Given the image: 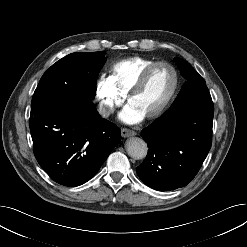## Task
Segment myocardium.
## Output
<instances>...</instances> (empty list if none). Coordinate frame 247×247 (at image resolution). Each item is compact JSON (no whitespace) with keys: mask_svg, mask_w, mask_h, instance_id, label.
Returning <instances> with one entry per match:
<instances>
[{"mask_svg":"<svg viewBox=\"0 0 247 247\" xmlns=\"http://www.w3.org/2000/svg\"><path fill=\"white\" fill-rule=\"evenodd\" d=\"M159 66H167L171 69L173 73V86H172V89L168 97L164 101V103L157 110H155L154 112L150 113L149 115L145 117L148 120H152V119H156L160 117L170 107L173 100L175 99L178 89H179V84H180L179 73L177 69L175 68V66L166 61H156L150 64L141 72V74L139 75L138 79L136 80L135 84L133 85L131 90L128 92L127 97H126L127 103L129 104L131 99L141 92L151 72Z\"/></svg>","mask_w":247,"mask_h":247,"instance_id":"myocardium-1","label":"myocardium"}]
</instances>
